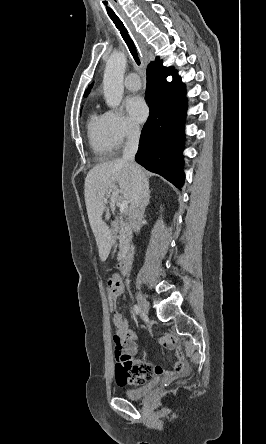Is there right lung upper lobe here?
<instances>
[{
	"mask_svg": "<svg viewBox=\"0 0 266 444\" xmlns=\"http://www.w3.org/2000/svg\"><path fill=\"white\" fill-rule=\"evenodd\" d=\"M158 61H160V60L157 58L155 62H158ZM155 62H153V63H155ZM92 86H93V84H91V85L88 87V89L85 91V93H84V96H85V97L88 96V94L90 93V90H91Z\"/></svg>",
	"mask_w": 266,
	"mask_h": 444,
	"instance_id": "obj_1",
	"label": "right lung upper lobe"
}]
</instances>
